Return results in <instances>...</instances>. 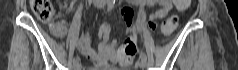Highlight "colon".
Segmentation results:
<instances>
[{
    "label": "colon",
    "mask_w": 238,
    "mask_h": 70,
    "mask_svg": "<svg viewBox=\"0 0 238 70\" xmlns=\"http://www.w3.org/2000/svg\"><path fill=\"white\" fill-rule=\"evenodd\" d=\"M175 7H180V12H187V7L190 4V0H174ZM30 8L34 15L41 20H49L53 15V5L50 0H30ZM157 28L161 29V32L165 35L170 34L177 26V18L171 17L167 19L162 25L160 21L156 22ZM130 26V25H128ZM152 28H155L154 24H151ZM57 32V29H55ZM123 41L118 46L115 59H119L122 66H127L132 62V58L136 53V37L134 33L130 36H123Z\"/></svg>",
    "instance_id": "colon-1"
}]
</instances>
